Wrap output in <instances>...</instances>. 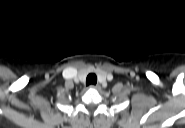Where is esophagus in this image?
<instances>
[{
	"mask_svg": "<svg viewBox=\"0 0 185 128\" xmlns=\"http://www.w3.org/2000/svg\"><path fill=\"white\" fill-rule=\"evenodd\" d=\"M89 88H90V89L99 90V89H100V85H98V84H96V85H90Z\"/></svg>",
	"mask_w": 185,
	"mask_h": 128,
	"instance_id": "1",
	"label": "esophagus"
}]
</instances>
